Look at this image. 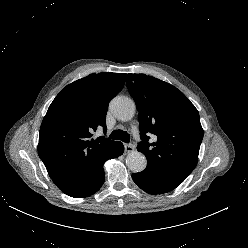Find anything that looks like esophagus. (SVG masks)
<instances>
[{"mask_svg":"<svg viewBox=\"0 0 248 248\" xmlns=\"http://www.w3.org/2000/svg\"><path fill=\"white\" fill-rule=\"evenodd\" d=\"M135 150V146L133 144H125V152L131 153Z\"/></svg>","mask_w":248,"mask_h":248,"instance_id":"1","label":"esophagus"}]
</instances>
